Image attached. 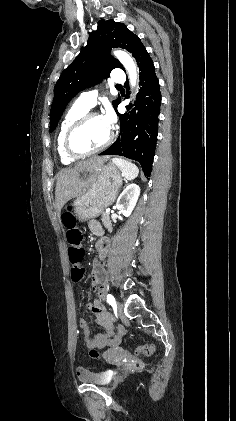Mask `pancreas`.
Returning a JSON list of instances; mask_svg holds the SVG:
<instances>
[{
  "label": "pancreas",
  "mask_w": 236,
  "mask_h": 421,
  "mask_svg": "<svg viewBox=\"0 0 236 421\" xmlns=\"http://www.w3.org/2000/svg\"><path fill=\"white\" fill-rule=\"evenodd\" d=\"M101 215H102L101 221L104 227H106L108 231H112V223L110 221L109 213H101Z\"/></svg>",
  "instance_id": "1"
}]
</instances>
